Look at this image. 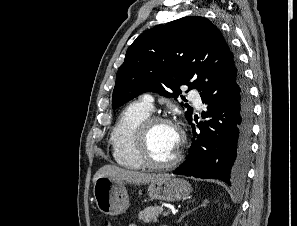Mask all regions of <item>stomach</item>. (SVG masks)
Listing matches in <instances>:
<instances>
[{"label": "stomach", "instance_id": "obj_1", "mask_svg": "<svg viewBox=\"0 0 297 226\" xmlns=\"http://www.w3.org/2000/svg\"><path fill=\"white\" fill-rule=\"evenodd\" d=\"M151 199L177 201L190 195L191 185L184 179L173 176L152 182L147 188ZM98 209L106 215H119L129 207L125 183L111 177H99L93 188Z\"/></svg>", "mask_w": 297, "mask_h": 226}]
</instances>
